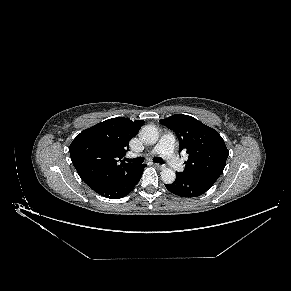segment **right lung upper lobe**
I'll return each instance as SVG.
<instances>
[{
	"label": "right lung upper lobe",
	"mask_w": 291,
	"mask_h": 291,
	"mask_svg": "<svg viewBox=\"0 0 291 291\" xmlns=\"http://www.w3.org/2000/svg\"><path fill=\"white\" fill-rule=\"evenodd\" d=\"M143 120L124 117L108 119L82 131L69 146L72 163L81 179L93 186L132 170L137 165L121 160L129 141L137 135Z\"/></svg>",
	"instance_id": "right-lung-upper-lobe-1"
}]
</instances>
